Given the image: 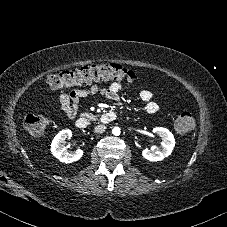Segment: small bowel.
Instances as JSON below:
<instances>
[{
    "mask_svg": "<svg viewBox=\"0 0 227 227\" xmlns=\"http://www.w3.org/2000/svg\"><path fill=\"white\" fill-rule=\"evenodd\" d=\"M122 84L119 82L111 83L107 88L93 85L87 89H75L69 93L59 95L57 103L62 111L70 118L74 117L77 110V105L80 99L89 95H101L110 100H116L122 90ZM140 99L145 104V110L148 114H154L159 110V105L154 101V96L151 90L147 88L139 89Z\"/></svg>",
    "mask_w": 227,
    "mask_h": 227,
    "instance_id": "small-bowel-1",
    "label": "small bowel"
}]
</instances>
